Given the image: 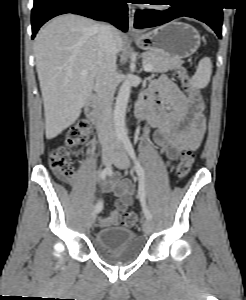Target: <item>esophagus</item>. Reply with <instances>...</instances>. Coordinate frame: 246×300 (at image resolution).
<instances>
[{
	"mask_svg": "<svg viewBox=\"0 0 246 300\" xmlns=\"http://www.w3.org/2000/svg\"><path fill=\"white\" fill-rule=\"evenodd\" d=\"M134 15H135L134 7L129 6V8H128V18H129L128 19L129 20V29H128V31H129L130 34H137L138 33V30H136L134 28Z\"/></svg>",
	"mask_w": 246,
	"mask_h": 300,
	"instance_id": "obj_1",
	"label": "esophagus"
}]
</instances>
